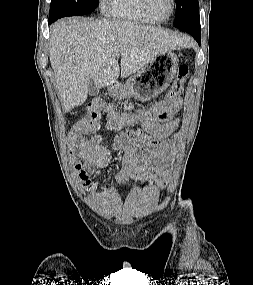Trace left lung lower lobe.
<instances>
[{"label": "left lung lower lobe", "mask_w": 253, "mask_h": 285, "mask_svg": "<svg viewBox=\"0 0 253 285\" xmlns=\"http://www.w3.org/2000/svg\"><path fill=\"white\" fill-rule=\"evenodd\" d=\"M193 36V38L198 42L200 45L201 42V26H200V19L193 21L192 23L179 28Z\"/></svg>", "instance_id": "0a47b994"}]
</instances>
